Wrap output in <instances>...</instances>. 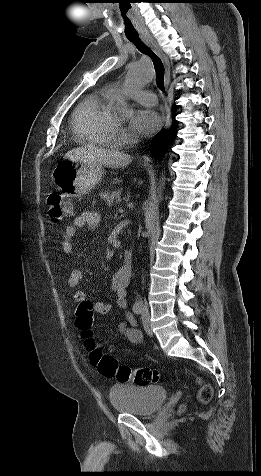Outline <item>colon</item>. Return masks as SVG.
I'll list each match as a JSON object with an SVG mask.
<instances>
[{"mask_svg": "<svg viewBox=\"0 0 261 476\" xmlns=\"http://www.w3.org/2000/svg\"><path fill=\"white\" fill-rule=\"evenodd\" d=\"M47 207V216L53 223H61L73 214L72 205L58 193H52L48 196ZM93 321L94 309L92 304L89 302L80 303L76 310V326L82 330L90 351L91 360L102 375L109 378L116 377L122 382L132 381L137 385H149L158 381L159 373L157 370L121 365L111 355L103 353L99 345L91 339L90 329ZM200 384V399L206 402L212 396V389L209 385L201 383V381Z\"/></svg>", "mask_w": 261, "mask_h": 476, "instance_id": "obj_1", "label": "colon"}]
</instances>
